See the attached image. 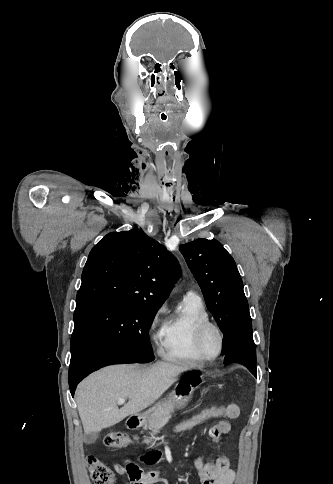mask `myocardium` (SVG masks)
I'll return each instance as SVG.
<instances>
[{
	"instance_id": "obj_1",
	"label": "myocardium",
	"mask_w": 333,
	"mask_h": 484,
	"mask_svg": "<svg viewBox=\"0 0 333 484\" xmlns=\"http://www.w3.org/2000/svg\"><path fill=\"white\" fill-rule=\"evenodd\" d=\"M209 331L215 332L218 338V350L213 356L208 355L204 349V340ZM195 346L197 352L205 361L218 359L224 349V336L220 327L210 320L200 323L195 331Z\"/></svg>"
}]
</instances>
